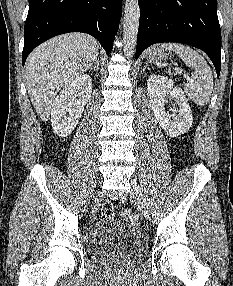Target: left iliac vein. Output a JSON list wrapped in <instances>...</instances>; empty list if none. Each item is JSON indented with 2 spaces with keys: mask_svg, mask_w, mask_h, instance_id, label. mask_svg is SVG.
I'll list each match as a JSON object with an SVG mask.
<instances>
[{
  "mask_svg": "<svg viewBox=\"0 0 233 286\" xmlns=\"http://www.w3.org/2000/svg\"><path fill=\"white\" fill-rule=\"evenodd\" d=\"M131 196L136 201L140 212L145 216L148 217V205L146 199L141 191L140 186L135 180L131 181Z\"/></svg>",
  "mask_w": 233,
  "mask_h": 286,
  "instance_id": "1",
  "label": "left iliac vein"
}]
</instances>
